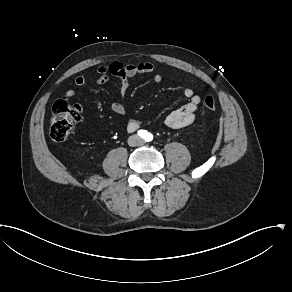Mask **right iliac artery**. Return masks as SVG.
<instances>
[{
    "label": "right iliac artery",
    "instance_id": "1",
    "mask_svg": "<svg viewBox=\"0 0 292 292\" xmlns=\"http://www.w3.org/2000/svg\"><path fill=\"white\" fill-rule=\"evenodd\" d=\"M147 131L146 130H139L138 131V135L142 138H146L147 137Z\"/></svg>",
    "mask_w": 292,
    "mask_h": 292
}]
</instances>
